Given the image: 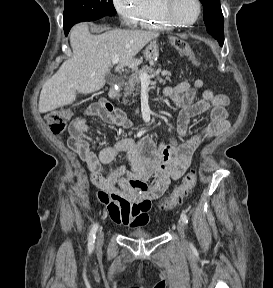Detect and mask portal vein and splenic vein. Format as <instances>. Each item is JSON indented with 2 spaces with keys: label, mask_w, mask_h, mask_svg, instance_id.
Listing matches in <instances>:
<instances>
[{
  "label": "portal vein and splenic vein",
  "mask_w": 273,
  "mask_h": 288,
  "mask_svg": "<svg viewBox=\"0 0 273 288\" xmlns=\"http://www.w3.org/2000/svg\"><path fill=\"white\" fill-rule=\"evenodd\" d=\"M119 60H120L119 57H114L112 59V64L116 65L119 62ZM157 73H159V71H157L156 74ZM154 76H155V74L148 75L147 73H142L140 75V81H141V83L148 84V83H150V79L153 78Z\"/></svg>",
  "instance_id": "1"
}]
</instances>
